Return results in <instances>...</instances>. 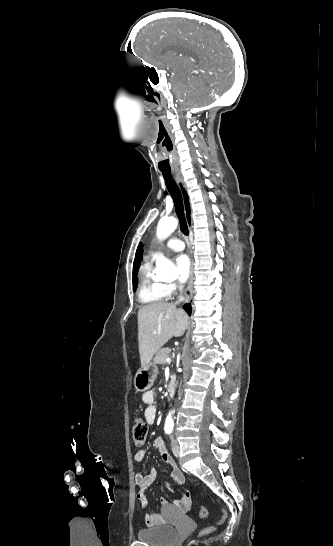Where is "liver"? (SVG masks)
<instances>
[{
    "label": "liver",
    "instance_id": "6515ba94",
    "mask_svg": "<svg viewBox=\"0 0 333 546\" xmlns=\"http://www.w3.org/2000/svg\"><path fill=\"white\" fill-rule=\"evenodd\" d=\"M188 316L173 303H151L138 311V343L141 367L150 364L153 356L172 337L184 334Z\"/></svg>",
    "mask_w": 333,
    "mask_h": 546
}]
</instances>
